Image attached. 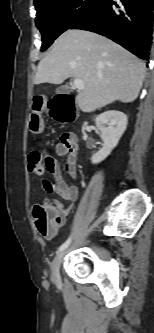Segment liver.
I'll return each mask as SVG.
<instances>
[{
  "mask_svg": "<svg viewBox=\"0 0 154 333\" xmlns=\"http://www.w3.org/2000/svg\"><path fill=\"white\" fill-rule=\"evenodd\" d=\"M145 63L110 39L85 30H67L39 62L36 85H59L67 78L81 79L76 96L83 112H93L114 102L129 103L140 92Z\"/></svg>",
  "mask_w": 154,
  "mask_h": 333,
  "instance_id": "6515ba94",
  "label": "liver"
}]
</instances>
